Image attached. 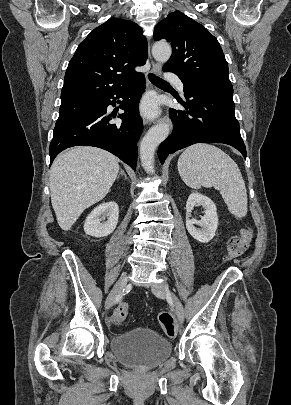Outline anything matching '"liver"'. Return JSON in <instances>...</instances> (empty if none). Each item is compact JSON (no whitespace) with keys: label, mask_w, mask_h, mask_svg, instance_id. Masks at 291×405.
I'll use <instances>...</instances> for the list:
<instances>
[{"label":"liver","mask_w":291,"mask_h":405,"mask_svg":"<svg viewBox=\"0 0 291 405\" xmlns=\"http://www.w3.org/2000/svg\"><path fill=\"white\" fill-rule=\"evenodd\" d=\"M118 172L117 158L100 148L74 147L59 154L49 180L60 228L69 230L86 208L102 200Z\"/></svg>","instance_id":"obj_1"}]
</instances>
